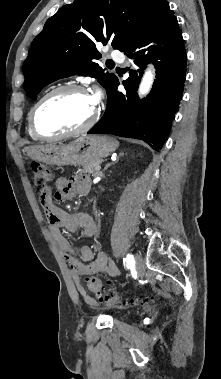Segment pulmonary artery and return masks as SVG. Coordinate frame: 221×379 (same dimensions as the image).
<instances>
[{"label":"pulmonary artery","mask_w":221,"mask_h":379,"mask_svg":"<svg viewBox=\"0 0 221 379\" xmlns=\"http://www.w3.org/2000/svg\"><path fill=\"white\" fill-rule=\"evenodd\" d=\"M110 56L112 59H114L115 61L120 62V63H123L125 60L124 55L122 53H120L119 51L111 52Z\"/></svg>","instance_id":"e3ab8cb5"}]
</instances>
